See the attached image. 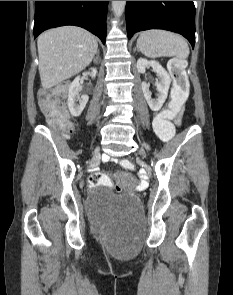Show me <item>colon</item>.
<instances>
[{
	"label": "colon",
	"mask_w": 233,
	"mask_h": 295,
	"mask_svg": "<svg viewBox=\"0 0 233 295\" xmlns=\"http://www.w3.org/2000/svg\"><path fill=\"white\" fill-rule=\"evenodd\" d=\"M169 71L173 79L172 98L169 108L159 113L154 119V130L163 141H171L175 136L173 119L179 113L189 95V81L185 71V63L180 59L169 62ZM63 83L46 90L40 95V106L49 123L56 127L63 136H68L73 130V122L63 103V96L69 88ZM120 164L127 170H134V164L128 159H122ZM90 188L104 186L112 187L111 180L101 172H93L88 178Z\"/></svg>",
	"instance_id": "1"
}]
</instances>
